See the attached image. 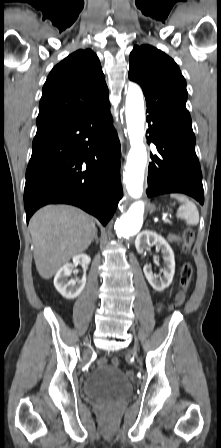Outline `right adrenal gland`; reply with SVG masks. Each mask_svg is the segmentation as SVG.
<instances>
[{
	"label": "right adrenal gland",
	"mask_w": 221,
	"mask_h": 448,
	"mask_svg": "<svg viewBox=\"0 0 221 448\" xmlns=\"http://www.w3.org/2000/svg\"><path fill=\"white\" fill-rule=\"evenodd\" d=\"M96 241L97 243L99 242V240H98V236H97V231H96V233H95V236H94V239H93V241Z\"/></svg>",
	"instance_id": "right-adrenal-gland-1"
}]
</instances>
